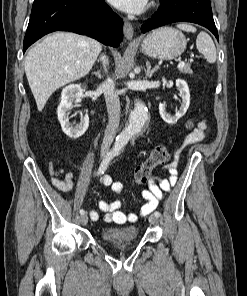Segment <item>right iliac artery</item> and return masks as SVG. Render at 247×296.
<instances>
[{"label":"right iliac artery","instance_id":"82829eb1","mask_svg":"<svg viewBox=\"0 0 247 296\" xmlns=\"http://www.w3.org/2000/svg\"><path fill=\"white\" fill-rule=\"evenodd\" d=\"M116 155V153L114 151H110L109 153H107V155L105 156V158L103 159L99 169H98V175L103 174L110 161L113 159V157ZM85 213V211L83 209L80 210V214L83 215Z\"/></svg>","mask_w":247,"mask_h":296}]
</instances>
